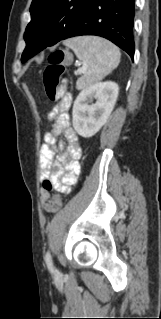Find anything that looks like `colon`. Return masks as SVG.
Here are the masks:
<instances>
[{"mask_svg": "<svg viewBox=\"0 0 161 319\" xmlns=\"http://www.w3.org/2000/svg\"><path fill=\"white\" fill-rule=\"evenodd\" d=\"M69 55L63 50L53 52L48 60L46 68L41 74V84L47 98L55 102L58 99V85L67 64ZM45 191L51 192L53 184L51 180L46 179L42 182ZM46 208L50 212H57L61 208V200L58 197L50 199L46 203Z\"/></svg>", "mask_w": 161, "mask_h": 319, "instance_id": "obj_1", "label": "colon"}]
</instances>
